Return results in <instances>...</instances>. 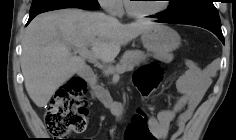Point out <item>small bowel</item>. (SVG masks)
<instances>
[{"mask_svg":"<svg viewBox=\"0 0 236 140\" xmlns=\"http://www.w3.org/2000/svg\"><path fill=\"white\" fill-rule=\"evenodd\" d=\"M185 69L177 80L176 87L180 93L179 99L169 108L149 118V129L154 140H165L172 122L176 119L177 131L170 140H179L187 122L193 117L195 110L202 101L211 85L214 76L212 66L201 68L195 61L184 59Z\"/></svg>","mask_w":236,"mask_h":140,"instance_id":"1","label":"small bowel"}]
</instances>
